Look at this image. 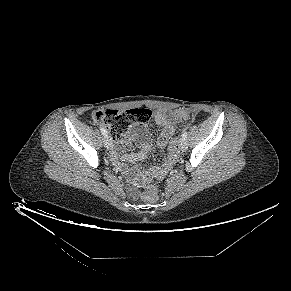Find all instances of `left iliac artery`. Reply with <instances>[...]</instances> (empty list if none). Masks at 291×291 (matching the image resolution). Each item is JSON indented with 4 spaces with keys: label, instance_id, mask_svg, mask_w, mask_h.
<instances>
[{
    "label": "left iliac artery",
    "instance_id": "obj_1",
    "mask_svg": "<svg viewBox=\"0 0 291 291\" xmlns=\"http://www.w3.org/2000/svg\"><path fill=\"white\" fill-rule=\"evenodd\" d=\"M187 131H184L183 134H182V139L186 140L187 139Z\"/></svg>",
    "mask_w": 291,
    "mask_h": 291
}]
</instances>
